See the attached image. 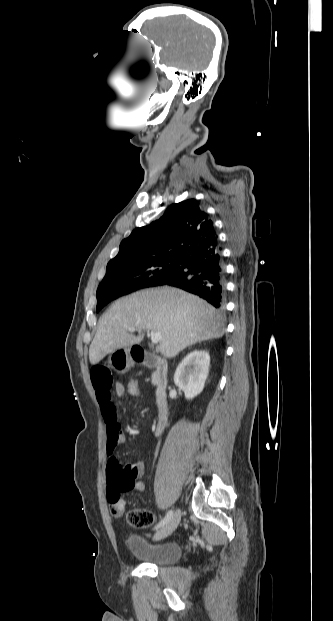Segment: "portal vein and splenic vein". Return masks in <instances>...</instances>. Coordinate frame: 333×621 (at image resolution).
<instances>
[{
  "label": "portal vein and splenic vein",
  "mask_w": 333,
  "mask_h": 621,
  "mask_svg": "<svg viewBox=\"0 0 333 621\" xmlns=\"http://www.w3.org/2000/svg\"><path fill=\"white\" fill-rule=\"evenodd\" d=\"M135 330H136V328H135V327H130V328L128 329V331H129V332H134ZM150 334H151V341H152V343H153V344L158 343V342H159V340H160V339H161V337H162V335H161V333H160V332H154L153 330H151Z\"/></svg>",
  "instance_id": "obj_1"
}]
</instances>
